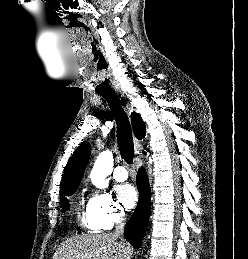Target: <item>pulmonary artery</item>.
Here are the masks:
<instances>
[{"mask_svg":"<svg viewBox=\"0 0 248 259\" xmlns=\"http://www.w3.org/2000/svg\"><path fill=\"white\" fill-rule=\"evenodd\" d=\"M128 174L123 166H117L113 172V178L118 182H123L127 179Z\"/></svg>","mask_w":248,"mask_h":259,"instance_id":"pulmonary-artery-1","label":"pulmonary artery"}]
</instances>
